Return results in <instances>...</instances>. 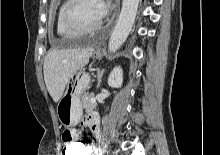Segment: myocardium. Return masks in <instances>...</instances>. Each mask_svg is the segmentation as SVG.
Wrapping results in <instances>:
<instances>
[{"label": "myocardium", "mask_w": 220, "mask_h": 155, "mask_svg": "<svg viewBox=\"0 0 220 155\" xmlns=\"http://www.w3.org/2000/svg\"><path fill=\"white\" fill-rule=\"evenodd\" d=\"M81 1L82 0H68L62 12V23L65 28L76 34H86L100 29L103 25V20L93 26H85L76 21L74 11Z\"/></svg>", "instance_id": "myocardium-1"}]
</instances>
